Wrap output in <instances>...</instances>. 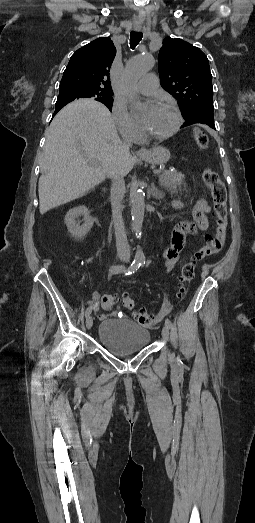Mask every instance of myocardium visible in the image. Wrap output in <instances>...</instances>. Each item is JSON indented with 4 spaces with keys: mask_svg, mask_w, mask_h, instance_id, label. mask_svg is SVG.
<instances>
[{
    "mask_svg": "<svg viewBox=\"0 0 255 523\" xmlns=\"http://www.w3.org/2000/svg\"><path fill=\"white\" fill-rule=\"evenodd\" d=\"M162 105H167V106L171 107L174 110L175 115H176V123H175L174 128L169 133L164 134V135L159 136V137H156V138H149V137H147L143 133V131L141 129L140 130V134L138 136V139L142 140L143 142H160V141L167 140V139L173 137L175 134L178 133V131L180 130V128H181V126L183 124V117H182L180 109L172 101H160V102H158L154 106V108H157V107L162 106Z\"/></svg>",
    "mask_w": 255,
    "mask_h": 523,
    "instance_id": "obj_1",
    "label": "myocardium"
}]
</instances>
